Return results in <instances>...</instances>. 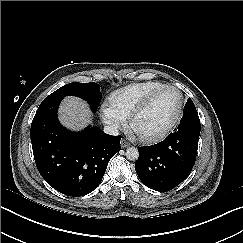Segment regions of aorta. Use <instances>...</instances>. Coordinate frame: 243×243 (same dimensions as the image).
<instances>
[{"instance_id":"aorta-1","label":"aorta","mask_w":243,"mask_h":243,"mask_svg":"<svg viewBox=\"0 0 243 243\" xmlns=\"http://www.w3.org/2000/svg\"><path fill=\"white\" fill-rule=\"evenodd\" d=\"M125 156L130 161H135L139 157V151L135 147H128L125 152Z\"/></svg>"}]
</instances>
